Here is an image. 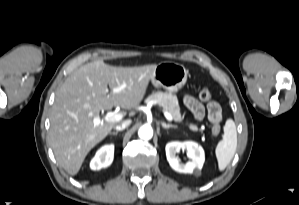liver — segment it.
<instances>
[{"instance_id":"6515ba94","label":"liver","mask_w":299,"mask_h":205,"mask_svg":"<svg viewBox=\"0 0 299 205\" xmlns=\"http://www.w3.org/2000/svg\"><path fill=\"white\" fill-rule=\"evenodd\" d=\"M156 66L115 67L98 60L81 66L65 80L52 107L49 139L57 162L68 174L76 175L89 151L122 123L105 121L95 126L93 118L113 106L137 107ZM119 87L123 88L115 92Z\"/></svg>"}]
</instances>
